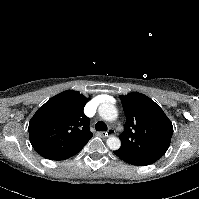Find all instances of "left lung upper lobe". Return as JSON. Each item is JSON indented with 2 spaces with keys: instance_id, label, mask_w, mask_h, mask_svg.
Wrapping results in <instances>:
<instances>
[{
  "instance_id": "1",
  "label": "left lung upper lobe",
  "mask_w": 199,
  "mask_h": 199,
  "mask_svg": "<svg viewBox=\"0 0 199 199\" xmlns=\"http://www.w3.org/2000/svg\"><path fill=\"white\" fill-rule=\"evenodd\" d=\"M126 114L121 149L157 161L168 150L173 134L171 121L152 99L141 93L120 96Z\"/></svg>"
}]
</instances>
